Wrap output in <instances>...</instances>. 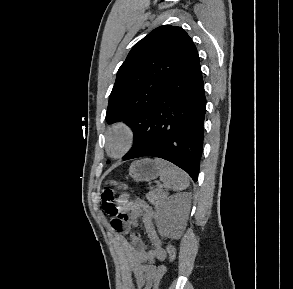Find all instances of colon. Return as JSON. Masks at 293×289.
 <instances>
[{
	"instance_id": "1",
	"label": "colon",
	"mask_w": 293,
	"mask_h": 289,
	"mask_svg": "<svg viewBox=\"0 0 293 289\" xmlns=\"http://www.w3.org/2000/svg\"><path fill=\"white\" fill-rule=\"evenodd\" d=\"M111 184L113 187H115L118 190L128 189L127 185L122 182L112 181ZM102 207L104 212L113 219L122 216L119 205L115 197V191L111 188L105 189L102 193ZM115 227L117 229H120V228H123V225L117 224L115 225ZM167 253H168L169 262L173 263L176 259L177 252H176L175 246L172 243L167 244ZM166 272H167V268L164 266H162L158 270L155 277L151 281V285L154 287V289L159 288Z\"/></svg>"
}]
</instances>
